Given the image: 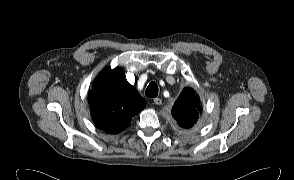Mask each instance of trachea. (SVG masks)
<instances>
[{
    "instance_id": "3493384b",
    "label": "trachea",
    "mask_w": 294,
    "mask_h": 180,
    "mask_svg": "<svg viewBox=\"0 0 294 180\" xmlns=\"http://www.w3.org/2000/svg\"><path fill=\"white\" fill-rule=\"evenodd\" d=\"M146 96L148 97H157L158 95V86L155 82H151L145 91Z\"/></svg>"
}]
</instances>
